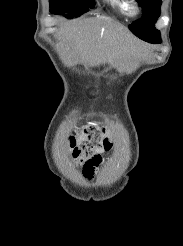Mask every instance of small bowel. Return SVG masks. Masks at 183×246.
<instances>
[{
    "instance_id": "1",
    "label": "small bowel",
    "mask_w": 183,
    "mask_h": 246,
    "mask_svg": "<svg viewBox=\"0 0 183 246\" xmlns=\"http://www.w3.org/2000/svg\"><path fill=\"white\" fill-rule=\"evenodd\" d=\"M101 151L94 154L85 164L82 170L83 176L87 180L93 179L98 166L101 164Z\"/></svg>"
}]
</instances>
